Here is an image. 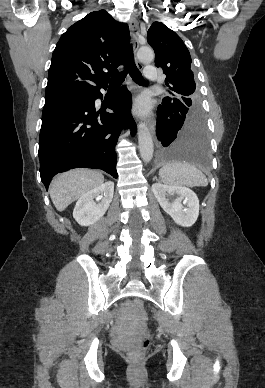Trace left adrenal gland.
<instances>
[{
	"label": "left adrenal gland",
	"instance_id": "obj_1",
	"mask_svg": "<svg viewBox=\"0 0 265 388\" xmlns=\"http://www.w3.org/2000/svg\"><path fill=\"white\" fill-rule=\"evenodd\" d=\"M153 180H157L156 176H155V178H153Z\"/></svg>",
	"mask_w": 265,
	"mask_h": 388
}]
</instances>
